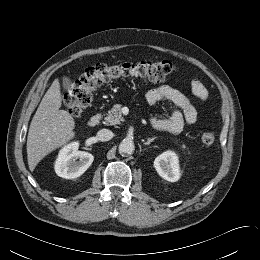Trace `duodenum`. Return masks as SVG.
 Returning a JSON list of instances; mask_svg holds the SVG:
<instances>
[{"label":"duodenum","mask_w":260,"mask_h":260,"mask_svg":"<svg viewBox=\"0 0 260 260\" xmlns=\"http://www.w3.org/2000/svg\"><path fill=\"white\" fill-rule=\"evenodd\" d=\"M102 119V115L100 113L94 114L91 116L87 122L89 127H95L97 126Z\"/></svg>","instance_id":"410a0bca"}]
</instances>
